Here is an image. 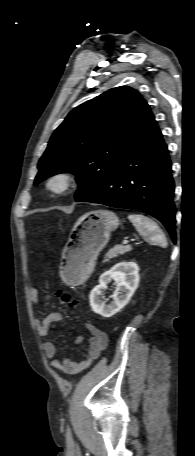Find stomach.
Here are the masks:
<instances>
[{
    "mask_svg": "<svg viewBox=\"0 0 195 456\" xmlns=\"http://www.w3.org/2000/svg\"><path fill=\"white\" fill-rule=\"evenodd\" d=\"M118 225V216L108 210L91 211L78 218L62 256L61 274L68 284L79 285L91 275L98 254Z\"/></svg>",
    "mask_w": 195,
    "mask_h": 456,
    "instance_id": "stomach-1",
    "label": "stomach"
}]
</instances>
